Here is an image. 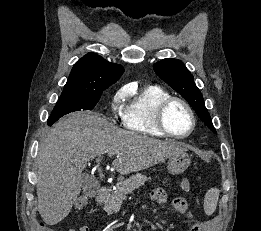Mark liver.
Listing matches in <instances>:
<instances>
[{
	"label": "liver",
	"mask_w": 261,
	"mask_h": 231,
	"mask_svg": "<svg viewBox=\"0 0 261 231\" xmlns=\"http://www.w3.org/2000/svg\"><path fill=\"white\" fill-rule=\"evenodd\" d=\"M186 150L187 146L181 142L162 141L122 130L99 114L72 113L59 120L40 143L38 211L48 225L62 221L81 191L82 171L87 162L103 152L116 155L112 165L125 175Z\"/></svg>",
	"instance_id": "liver-1"
}]
</instances>
